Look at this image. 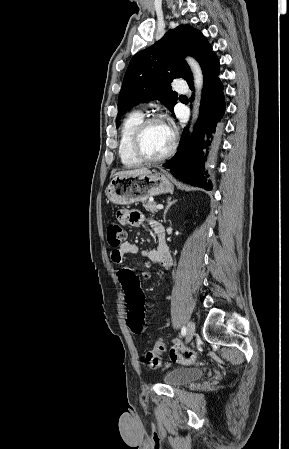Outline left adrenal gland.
<instances>
[{"mask_svg":"<svg viewBox=\"0 0 289 449\" xmlns=\"http://www.w3.org/2000/svg\"><path fill=\"white\" fill-rule=\"evenodd\" d=\"M176 202H177V200L171 201V198H168V199H167V206H166V209H165L164 215H163L164 222H166L165 216H166L167 211H168L169 208H170L174 203H176Z\"/></svg>","mask_w":289,"mask_h":449,"instance_id":"1","label":"left adrenal gland"}]
</instances>
